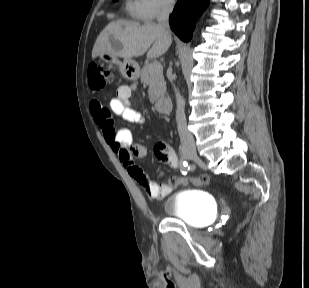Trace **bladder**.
Wrapping results in <instances>:
<instances>
[{
	"mask_svg": "<svg viewBox=\"0 0 309 288\" xmlns=\"http://www.w3.org/2000/svg\"><path fill=\"white\" fill-rule=\"evenodd\" d=\"M163 211L167 217L178 218L192 227L207 226L215 215L212 197L203 190L193 188L167 195Z\"/></svg>",
	"mask_w": 309,
	"mask_h": 288,
	"instance_id": "obj_1",
	"label": "bladder"
}]
</instances>
